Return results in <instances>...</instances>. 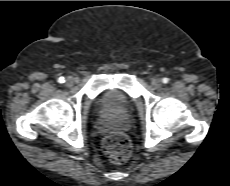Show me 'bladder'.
<instances>
[{
	"mask_svg": "<svg viewBox=\"0 0 230 186\" xmlns=\"http://www.w3.org/2000/svg\"><path fill=\"white\" fill-rule=\"evenodd\" d=\"M130 106L127 96L117 90H109L101 97L98 110L101 114L125 113Z\"/></svg>",
	"mask_w": 230,
	"mask_h": 186,
	"instance_id": "obj_1",
	"label": "bladder"
}]
</instances>
